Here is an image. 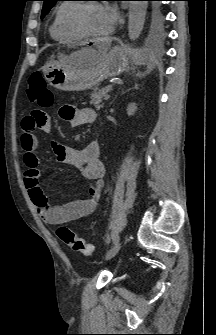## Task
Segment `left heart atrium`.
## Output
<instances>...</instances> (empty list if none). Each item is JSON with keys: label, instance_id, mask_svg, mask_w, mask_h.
Instances as JSON below:
<instances>
[{"label": "left heart atrium", "instance_id": "obj_1", "mask_svg": "<svg viewBox=\"0 0 216 335\" xmlns=\"http://www.w3.org/2000/svg\"><path fill=\"white\" fill-rule=\"evenodd\" d=\"M102 9L108 22L109 30H111L118 20V10L112 4H105L102 6Z\"/></svg>", "mask_w": 216, "mask_h": 335}]
</instances>
